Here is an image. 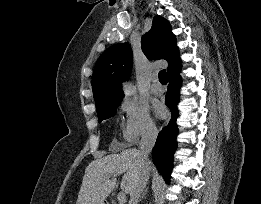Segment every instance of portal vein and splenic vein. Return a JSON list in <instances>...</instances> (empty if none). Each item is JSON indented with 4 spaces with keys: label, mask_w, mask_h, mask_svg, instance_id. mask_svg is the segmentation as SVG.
Returning <instances> with one entry per match:
<instances>
[{
    "label": "portal vein and splenic vein",
    "mask_w": 261,
    "mask_h": 204,
    "mask_svg": "<svg viewBox=\"0 0 261 204\" xmlns=\"http://www.w3.org/2000/svg\"><path fill=\"white\" fill-rule=\"evenodd\" d=\"M119 204H124L126 202V194L124 192H120L117 196Z\"/></svg>",
    "instance_id": "portal-vein-and-splenic-vein-1"
}]
</instances>
